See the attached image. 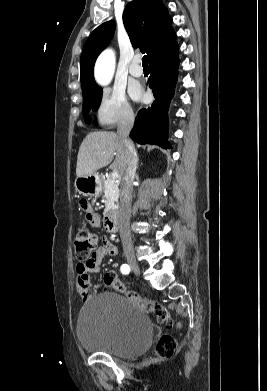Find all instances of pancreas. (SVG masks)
I'll return each instance as SVG.
<instances>
[{
    "mask_svg": "<svg viewBox=\"0 0 267 391\" xmlns=\"http://www.w3.org/2000/svg\"><path fill=\"white\" fill-rule=\"evenodd\" d=\"M101 182L103 184L104 189V197L112 201V208L115 207V205L118 203L119 198V183L116 181V179H113L111 176L101 177Z\"/></svg>",
    "mask_w": 267,
    "mask_h": 391,
    "instance_id": "1",
    "label": "pancreas"
}]
</instances>
